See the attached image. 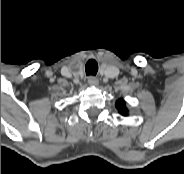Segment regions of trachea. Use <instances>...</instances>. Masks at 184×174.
<instances>
[{
	"label": "trachea",
	"mask_w": 184,
	"mask_h": 174,
	"mask_svg": "<svg viewBox=\"0 0 184 174\" xmlns=\"http://www.w3.org/2000/svg\"><path fill=\"white\" fill-rule=\"evenodd\" d=\"M85 71L87 75H93L95 76L98 71V64L95 60L90 59L85 66Z\"/></svg>",
	"instance_id": "1"
}]
</instances>
